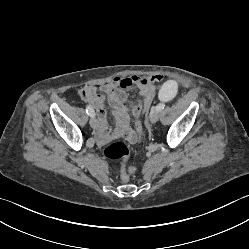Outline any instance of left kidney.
<instances>
[{"instance_id":"1","label":"left kidney","mask_w":249,"mask_h":249,"mask_svg":"<svg viewBox=\"0 0 249 249\" xmlns=\"http://www.w3.org/2000/svg\"><path fill=\"white\" fill-rule=\"evenodd\" d=\"M179 84L174 80H164L156 91V96L166 105H171L176 100V93L179 91Z\"/></svg>"}]
</instances>
